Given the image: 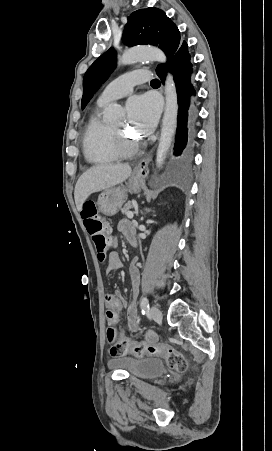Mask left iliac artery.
<instances>
[{
    "label": "left iliac artery",
    "mask_w": 272,
    "mask_h": 451,
    "mask_svg": "<svg viewBox=\"0 0 272 451\" xmlns=\"http://www.w3.org/2000/svg\"><path fill=\"white\" fill-rule=\"evenodd\" d=\"M149 311V301L146 297L141 300V312L143 315L147 314Z\"/></svg>",
    "instance_id": "obj_1"
}]
</instances>
